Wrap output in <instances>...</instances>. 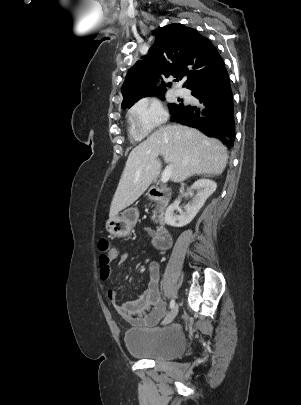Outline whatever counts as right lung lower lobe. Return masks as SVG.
I'll use <instances>...</instances> for the list:
<instances>
[{
    "label": "right lung lower lobe",
    "instance_id": "98d812e1",
    "mask_svg": "<svg viewBox=\"0 0 301 405\" xmlns=\"http://www.w3.org/2000/svg\"><path fill=\"white\" fill-rule=\"evenodd\" d=\"M192 90L202 106L183 105L171 113V120L195 127L208 136L218 138L227 147L235 141L234 103L226 68L212 80Z\"/></svg>",
    "mask_w": 301,
    "mask_h": 405
}]
</instances>
